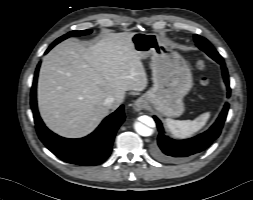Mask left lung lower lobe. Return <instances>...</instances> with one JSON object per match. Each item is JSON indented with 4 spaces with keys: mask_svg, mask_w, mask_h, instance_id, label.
<instances>
[{
    "mask_svg": "<svg viewBox=\"0 0 253 200\" xmlns=\"http://www.w3.org/2000/svg\"><path fill=\"white\" fill-rule=\"evenodd\" d=\"M222 68L224 82L230 96L229 76L223 61L218 62ZM229 104L226 103L216 122L204 133L185 140H174L165 135L161 121L154 116L159 131L157 144L153 148V154L160 160L167 162H181L187 160L209 147L218 138L227 116Z\"/></svg>",
    "mask_w": 253,
    "mask_h": 200,
    "instance_id": "0a47b994",
    "label": "left lung lower lobe"
}]
</instances>
